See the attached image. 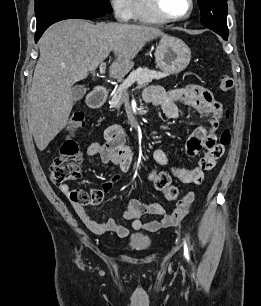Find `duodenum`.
Returning a JSON list of instances; mask_svg holds the SVG:
<instances>
[{"mask_svg": "<svg viewBox=\"0 0 261 306\" xmlns=\"http://www.w3.org/2000/svg\"><path fill=\"white\" fill-rule=\"evenodd\" d=\"M108 95V90L104 86H98L91 91L87 97V104L91 108H99L104 104Z\"/></svg>", "mask_w": 261, "mask_h": 306, "instance_id": "duodenum-1", "label": "duodenum"}]
</instances>
